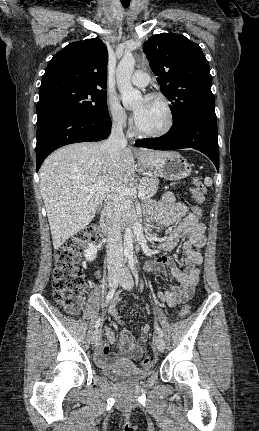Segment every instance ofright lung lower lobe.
<instances>
[{"label":"right lung lower lobe","instance_id":"obj_1","mask_svg":"<svg viewBox=\"0 0 259 431\" xmlns=\"http://www.w3.org/2000/svg\"><path fill=\"white\" fill-rule=\"evenodd\" d=\"M111 132V119L58 110L37 119L36 169L54 150L76 142L100 141Z\"/></svg>","mask_w":259,"mask_h":431}]
</instances>
